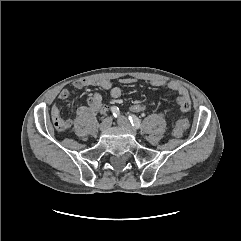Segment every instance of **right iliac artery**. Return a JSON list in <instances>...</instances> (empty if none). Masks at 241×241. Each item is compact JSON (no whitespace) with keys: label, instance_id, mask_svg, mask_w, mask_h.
<instances>
[{"label":"right iliac artery","instance_id":"1","mask_svg":"<svg viewBox=\"0 0 241 241\" xmlns=\"http://www.w3.org/2000/svg\"><path fill=\"white\" fill-rule=\"evenodd\" d=\"M111 112L115 118L118 117L120 114V111H119L118 107H116V106L111 107Z\"/></svg>","mask_w":241,"mask_h":241}]
</instances>
